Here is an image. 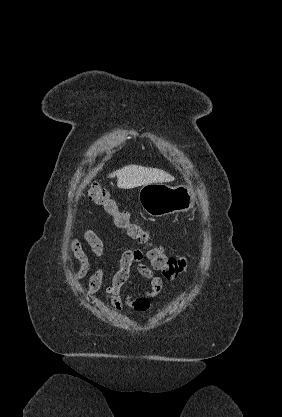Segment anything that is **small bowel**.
Masks as SVG:
<instances>
[{"instance_id": "c3829d8e", "label": "small bowel", "mask_w": 282, "mask_h": 417, "mask_svg": "<svg viewBox=\"0 0 282 417\" xmlns=\"http://www.w3.org/2000/svg\"><path fill=\"white\" fill-rule=\"evenodd\" d=\"M84 239L90 246L93 254L101 258L104 254V244L95 231L87 229L84 232ZM72 250L79 262V268L74 273V278L81 280L90 271V260L77 239L72 240ZM142 258L143 254L138 249H129L120 258L119 269L112 279L111 286L106 289V296L116 311H121L124 306L137 312L152 311L150 299L160 295L163 290V280L154 274L153 269L144 263ZM134 264H136L138 273L150 282V288L143 291L140 295L124 294L123 287L130 276ZM103 279L104 270L99 268L89 277L87 296H93L99 291Z\"/></svg>"}]
</instances>
